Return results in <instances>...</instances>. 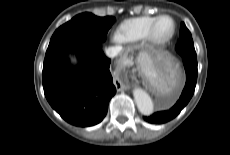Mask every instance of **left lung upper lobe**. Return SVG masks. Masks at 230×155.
Here are the masks:
<instances>
[{
  "instance_id": "obj_1",
  "label": "left lung upper lobe",
  "mask_w": 230,
  "mask_h": 155,
  "mask_svg": "<svg viewBox=\"0 0 230 155\" xmlns=\"http://www.w3.org/2000/svg\"><path fill=\"white\" fill-rule=\"evenodd\" d=\"M176 51L180 55L193 54L195 55L194 43L190 31L187 29L184 23H181L180 38L176 45Z\"/></svg>"
}]
</instances>
